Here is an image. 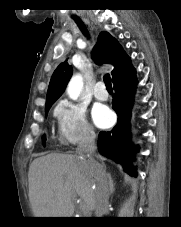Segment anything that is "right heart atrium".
<instances>
[{"mask_svg":"<svg viewBox=\"0 0 181 227\" xmlns=\"http://www.w3.org/2000/svg\"><path fill=\"white\" fill-rule=\"evenodd\" d=\"M60 140L67 145L91 142L95 132L87 120L85 109L69 100H60L55 107Z\"/></svg>","mask_w":181,"mask_h":227,"instance_id":"d8ad5b80","label":"right heart atrium"}]
</instances>
